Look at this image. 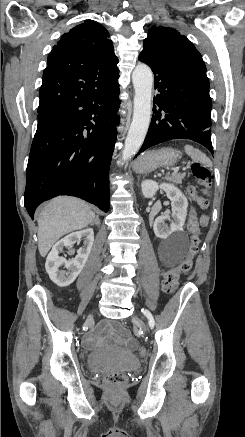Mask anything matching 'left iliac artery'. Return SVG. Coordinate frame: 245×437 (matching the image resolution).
Here are the masks:
<instances>
[{
  "label": "left iliac artery",
  "mask_w": 245,
  "mask_h": 437,
  "mask_svg": "<svg viewBox=\"0 0 245 437\" xmlns=\"http://www.w3.org/2000/svg\"><path fill=\"white\" fill-rule=\"evenodd\" d=\"M142 312L148 318L150 327L153 328L155 325V321H154V318H153L152 314L150 313V311L147 309H142Z\"/></svg>",
  "instance_id": "obj_1"
}]
</instances>
